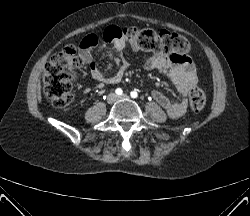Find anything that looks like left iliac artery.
<instances>
[{
	"mask_svg": "<svg viewBox=\"0 0 250 216\" xmlns=\"http://www.w3.org/2000/svg\"><path fill=\"white\" fill-rule=\"evenodd\" d=\"M130 95L132 98H136L138 96V93L136 91H132Z\"/></svg>",
	"mask_w": 250,
	"mask_h": 216,
	"instance_id": "obj_1",
	"label": "left iliac artery"
}]
</instances>
